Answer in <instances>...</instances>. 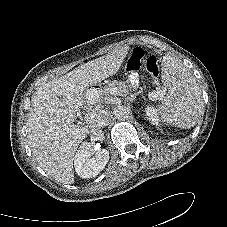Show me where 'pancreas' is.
I'll return each mask as SVG.
<instances>
[{
  "instance_id": "cf45deb5",
  "label": "pancreas",
  "mask_w": 227,
  "mask_h": 227,
  "mask_svg": "<svg viewBox=\"0 0 227 227\" xmlns=\"http://www.w3.org/2000/svg\"><path fill=\"white\" fill-rule=\"evenodd\" d=\"M117 90V95H126L129 93L130 88L122 81H110L107 83V85L104 86L103 90H96V89H91L88 90V93H94L95 96H97V99L95 102H98L100 100H102V97L105 95H109L111 94V91L113 89Z\"/></svg>"
}]
</instances>
